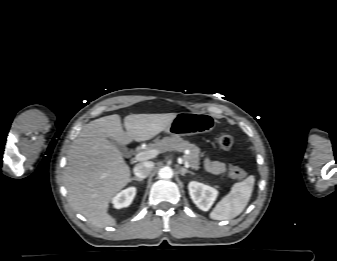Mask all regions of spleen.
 <instances>
[{
    "label": "spleen",
    "mask_w": 337,
    "mask_h": 261,
    "mask_svg": "<svg viewBox=\"0 0 337 261\" xmlns=\"http://www.w3.org/2000/svg\"><path fill=\"white\" fill-rule=\"evenodd\" d=\"M255 183L253 175L235 183L231 191L224 196L210 213L213 220H227L237 217L247 206Z\"/></svg>",
    "instance_id": "spleen-1"
}]
</instances>
